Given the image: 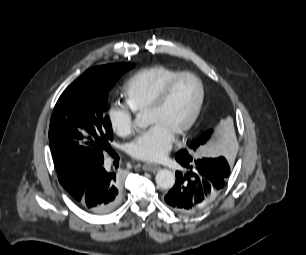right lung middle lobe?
I'll use <instances>...</instances> for the list:
<instances>
[{"label":"right lung middle lobe","instance_id":"obj_1","mask_svg":"<svg viewBox=\"0 0 306 255\" xmlns=\"http://www.w3.org/2000/svg\"><path fill=\"white\" fill-rule=\"evenodd\" d=\"M134 64L107 65L102 74L86 71L58 99L50 122L49 143L58 179L64 188L74 187L84 170L103 164L110 148L112 126L106 115L108 93L119 77ZM84 129L88 140L79 132Z\"/></svg>","mask_w":306,"mask_h":255}]
</instances>
